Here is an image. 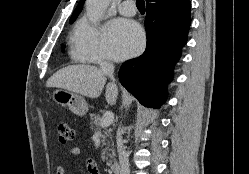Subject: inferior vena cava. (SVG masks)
I'll return each mask as SVG.
<instances>
[{
    "instance_id": "1",
    "label": "inferior vena cava",
    "mask_w": 249,
    "mask_h": 174,
    "mask_svg": "<svg viewBox=\"0 0 249 174\" xmlns=\"http://www.w3.org/2000/svg\"><path fill=\"white\" fill-rule=\"evenodd\" d=\"M100 68L106 75H108L111 78V80L115 84V79L113 76L114 65L110 62L102 61L100 63ZM117 146H118L117 148H118L119 163H120L119 174H130L128 154L123 146L120 127L117 131Z\"/></svg>"
}]
</instances>
